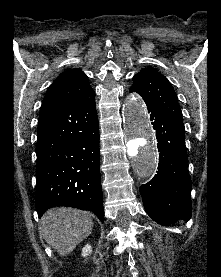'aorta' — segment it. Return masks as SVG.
I'll list each match as a JSON object with an SVG mask.
<instances>
[{
	"label": "aorta",
	"instance_id": "762f6f07",
	"mask_svg": "<svg viewBox=\"0 0 221 277\" xmlns=\"http://www.w3.org/2000/svg\"><path fill=\"white\" fill-rule=\"evenodd\" d=\"M122 120L132 167L138 176L149 177L157 168L158 156L147 112L137 96H130L125 101Z\"/></svg>",
	"mask_w": 221,
	"mask_h": 277
}]
</instances>
